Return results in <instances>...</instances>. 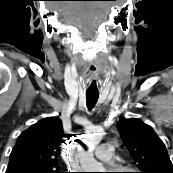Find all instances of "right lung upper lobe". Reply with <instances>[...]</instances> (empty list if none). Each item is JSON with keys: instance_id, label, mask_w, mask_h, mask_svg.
I'll return each mask as SVG.
<instances>
[{"instance_id": "right-lung-upper-lobe-1", "label": "right lung upper lobe", "mask_w": 173, "mask_h": 173, "mask_svg": "<svg viewBox=\"0 0 173 173\" xmlns=\"http://www.w3.org/2000/svg\"><path fill=\"white\" fill-rule=\"evenodd\" d=\"M65 137L58 118L38 121L18 137L10 154L7 173L58 170L57 154Z\"/></svg>"}]
</instances>
